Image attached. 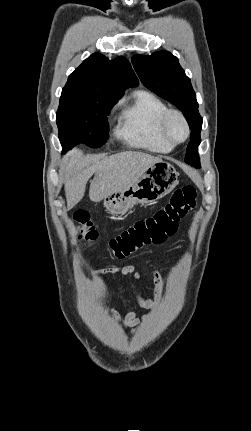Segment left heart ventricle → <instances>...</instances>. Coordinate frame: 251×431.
I'll use <instances>...</instances> for the list:
<instances>
[{
    "label": "left heart ventricle",
    "instance_id": "b2bd125f",
    "mask_svg": "<svg viewBox=\"0 0 251 431\" xmlns=\"http://www.w3.org/2000/svg\"><path fill=\"white\" fill-rule=\"evenodd\" d=\"M168 130L170 136L176 141H180L185 137V127L182 121L176 116L170 118Z\"/></svg>",
    "mask_w": 251,
    "mask_h": 431
}]
</instances>
